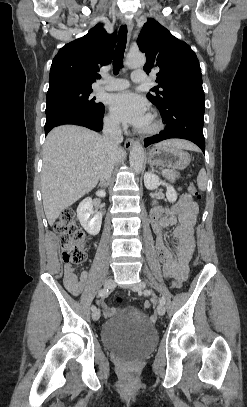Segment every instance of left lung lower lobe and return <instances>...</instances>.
Wrapping results in <instances>:
<instances>
[{
    "label": "left lung lower lobe",
    "mask_w": 247,
    "mask_h": 407,
    "mask_svg": "<svg viewBox=\"0 0 247 407\" xmlns=\"http://www.w3.org/2000/svg\"><path fill=\"white\" fill-rule=\"evenodd\" d=\"M204 111L203 103L183 101L172 104L165 113H161L162 120L166 123L165 129L159 134L145 139V147L166 139L181 138L192 141L204 153Z\"/></svg>",
    "instance_id": "left-lung-lower-lobe-1"
}]
</instances>
